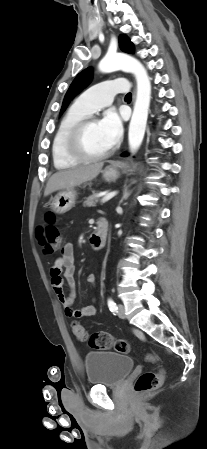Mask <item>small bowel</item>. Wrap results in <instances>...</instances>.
<instances>
[{"mask_svg":"<svg viewBox=\"0 0 207 449\" xmlns=\"http://www.w3.org/2000/svg\"><path fill=\"white\" fill-rule=\"evenodd\" d=\"M75 270L74 245L71 242H67L61 250V255L56 258L51 267V284L54 293L62 304L64 312L67 316L74 318L93 316L96 314V307L94 304H90L79 310L73 308L76 298ZM63 278L70 287V293L68 295H66L64 291ZM87 282L94 284L95 276L93 274H89L87 276Z\"/></svg>","mask_w":207,"mask_h":449,"instance_id":"small-bowel-1","label":"small bowel"}]
</instances>
